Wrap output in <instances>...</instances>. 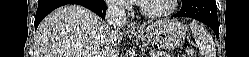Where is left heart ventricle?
Masks as SVG:
<instances>
[{"mask_svg":"<svg viewBox=\"0 0 249 57\" xmlns=\"http://www.w3.org/2000/svg\"><path fill=\"white\" fill-rule=\"evenodd\" d=\"M142 3L147 10L152 12L164 11L170 6V0H145Z\"/></svg>","mask_w":249,"mask_h":57,"instance_id":"obj_1","label":"left heart ventricle"}]
</instances>
